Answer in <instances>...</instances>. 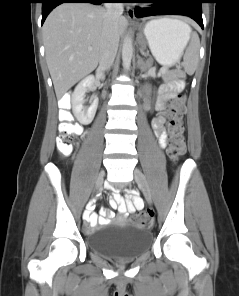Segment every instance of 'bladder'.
Masks as SVG:
<instances>
[{"instance_id":"obj_1","label":"bladder","mask_w":239,"mask_h":296,"mask_svg":"<svg viewBox=\"0 0 239 296\" xmlns=\"http://www.w3.org/2000/svg\"><path fill=\"white\" fill-rule=\"evenodd\" d=\"M152 233L135 224H110L98 227L87 237L91 249L114 259H134L152 245Z\"/></svg>"}]
</instances>
